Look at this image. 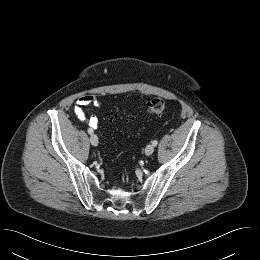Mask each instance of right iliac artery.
Listing matches in <instances>:
<instances>
[{
	"mask_svg": "<svg viewBox=\"0 0 260 260\" xmlns=\"http://www.w3.org/2000/svg\"><path fill=\"white\" fill-rule=\"evenodd\" d=\"M88 133H89V134H92V133H93V130L89 128V129H88Z\"/></svg>",
	"mask_w": 260,
	"mask_h": 260,
	"instance_id": "1",
	"label": "right iliac artery"
}]
</instances>
